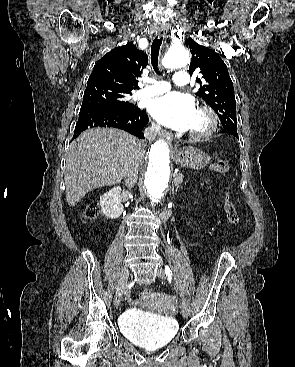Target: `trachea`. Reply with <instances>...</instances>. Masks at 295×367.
I'll list each match as a JSON object with an SVG mask.
<instances>
[{"instance_id":"trachea-1","label":"trachea","mask_w":295,"mask_h":367,"mask_svg":"<svg viewBox=\"0 0 295 367\" xmlns=\"http://www.w3.org/2000/svg\"><path fill=\"white\" fill-rule=\"evenodd\" d=\"M162 40H163L162 37L161 38L156 37L153 40V43H152V46H151V64L153 66L154 71L158 75L161 74V71L158 67V55H159L160 46L162 44Z\"/></svg>"}]
</instances>
